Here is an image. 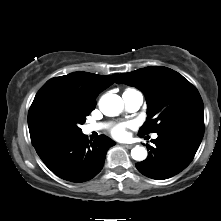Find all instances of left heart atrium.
<instances>
[{
    "label": "left heart atrium",
    "instance_id": "left-heart-atrium-1",
    "mask_svg": "<svg viewBox=\"0 0 221 221\" xmlns=\"http://www.w3.org/2000/svg\"><path fill=\"white\" fill-rule=\"evenodd\" d=\"M131 127H133L132 123H121L114 126L111 133L115 138L124 139L127 136V129Z\"/></svg>",
    "mask_w": 221,
    "mask_h": 221
}]
</instances>
